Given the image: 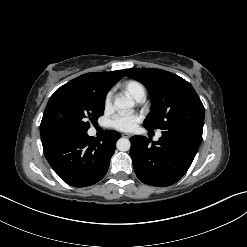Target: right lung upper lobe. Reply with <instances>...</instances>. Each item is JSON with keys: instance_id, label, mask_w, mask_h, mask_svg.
Here are the masks:
<instances>
[{"instance_id": "obj_1", "label": "right lung upper lobe", "mask_w": 247, "mask_h": 247, "mask_svg": "<svg viewBox=\"0 0 247 247\" xmlns=\"http://www.w3.org/2000/svg\"><path fill=\"white\" fill-rule=\"evenodd\" d=\"M124 76V72L121 70L118 71H112V72H101V73H86L84 75H81L65 85L61 86L52 96L53 98L56 94L59 92L63 91L64 89L77 85V84H86L92 87L94 90L97 92H100L102 94H107L109 89L122 77ZM41 140L42 143L49 141L51 139L45 137L44 135L41 134Z\"/></svg>"}]
</instances>
